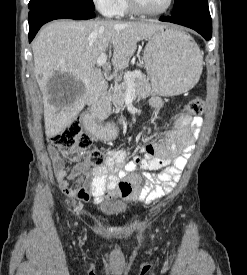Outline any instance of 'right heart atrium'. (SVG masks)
Here are the masks:
<instances>
[{
    "label": "right heart atrium",
    "mask_w": 247,
    "mask_h": 275,
    "mask_svg": "<svg viewBox=\"0 0 247 275\" xmlns=\"http://www.w3.org/2000/svg\"><path fill=\"white\" fill-rule=\"evenodd\" d=\"M96 8L106 16H114L118 8L119 0H93Z\"/></svg>",
    "instance_id": "1"
}]
</instances>
